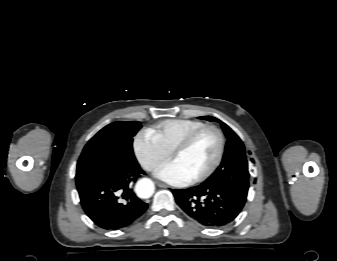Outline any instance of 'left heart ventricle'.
<instances>
[{"label":"left heart ventricle","instance_id":"b2bd125f","mask_svg":"<svg viewBox=\"0 0 337 261\" xmlns=\"http://www.w3.org/2000/svg\"><path fill=\"white\" fill-rule=\"evenodd\" d=\"M219 149V139L215 132L202 133L176 160L192 178L203 173L214 162Z\"/></svg>","mask_w":337,"mask_h":261}]
</instances>
